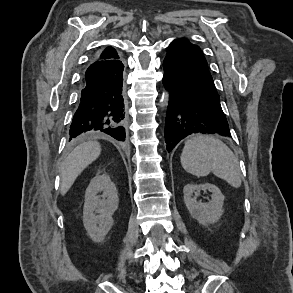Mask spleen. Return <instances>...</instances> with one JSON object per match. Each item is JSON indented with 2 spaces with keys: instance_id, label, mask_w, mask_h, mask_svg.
<instances>
[{
  "instance_id": "obj_1",
  "label": "spleen",
  "mask_w": 293,
  "mask_h": 293,
  "mask_svg": "<svg viewBox=\"0 0 293 293\" xmlns=\"http://www.w3.org/2000/svg\"><path fill=\"white\" fill-rule=\"evenodd\" d=\"M182 167L195 176H207L210 172L234 188L241 186V172L236 156L221 140L210 135H195L184 145Z\"/></svg>"
}]
</instances>
